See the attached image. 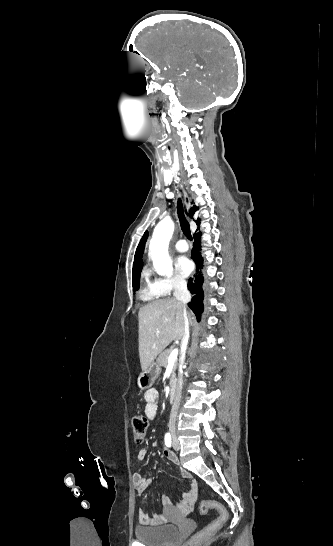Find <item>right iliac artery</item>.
Here are the masks:
<instances>
[{"label": "right iliac artery", "mask_w": 333, "mask_h": 546, "mask_svg": "<svg viewBox=\"0 0 333 546\" xmlns=\"http://www.w3.org/2000/svg\"><path fill=\"white\" fill-rule=\"evenodd\" d=\"M164 441H165V445H166L167 447H171L172 439H171L170 433H166V434H165Z\"/></svg>", "instance_id": "right-iliac-artery-1"}]
</instances>
